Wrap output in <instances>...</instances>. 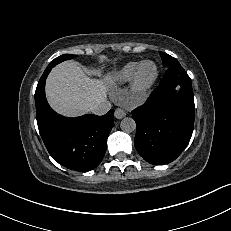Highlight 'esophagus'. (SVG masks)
<instances>
[{
  "instance_id": "1",
  "label": "esophagus",
  "mask_w": 231,
  "mask_h": 231,
  "mask_svg": "<svg viewBox=\"0 0 231 231\" xmlns=\"http://www.w3.org/2000/svg\"><path fill=\"white\" fill-rule=\"evenodd\" d=\"M114 115L117 119H122L126 116V111L122 108H117L114 112Z\"/></svg>"
}]
</instances>
